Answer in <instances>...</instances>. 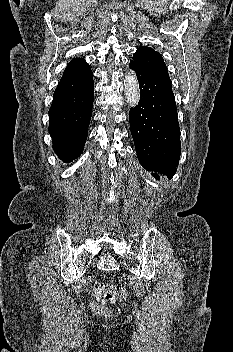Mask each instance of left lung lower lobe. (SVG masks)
<instances>
[{"label":"left lung lower lobe","mask_w":233,"mask_h":352,"mask_svg":"<svg viewBox=\"0 0 233 352\" xmlns=\"http://www.w3.org/2000/svg\"><path fill=\"white\" fill-rule=\"evenodd\" d=\"M140 88V100L129 112L131 134L140 164L172 178L180 159V129L172 85L130 62ZM153 176L159 179L156 173Z\"/></svg>","instance_id":"obj_1"}]
</instances>
